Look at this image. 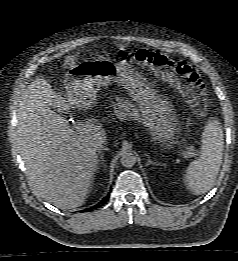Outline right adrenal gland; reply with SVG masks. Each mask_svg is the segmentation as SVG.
<instances>
[{
	"label": "right adrenal gland",
	"instance_id": "right-adrenal-gland-1",
	"mask_svg": "<svg viewBox=\"0 0 238 261\" xmlns=\"http://www.w3.org/2000/svg\"><path fill=\"white\" fill-rule=\"evenodd\" d=\"M103 150H108V148H104ZM99 154H100V157H99V160H98V167H100V165L102 164V165L105 166V168H106L107 165H106V161H105V159H104L103 152L100 151Z\"/></svg>",
	"mask_w": 238,
	"mask_h": 261
}]
</instances>
